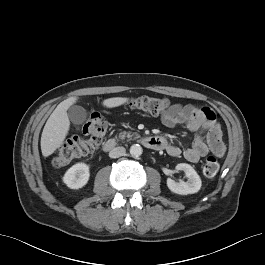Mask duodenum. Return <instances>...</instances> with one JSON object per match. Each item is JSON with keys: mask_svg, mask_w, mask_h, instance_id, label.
<instances>
[{"mask_svg": "<svg viewBox=\"0 0 265 265\" xmlns=\"http://www.w3.org/2000/svg\"><path fill=\"white\" fill-rule=\"evenodd\" d=\"M142 143L147 148L153 149V150H160V149H164L165 147L164 139L158 136H151V137L143 138ZM116 144L117 143L115 139H109L105 142L103 149L106 152H110L116 147Z\"/></svg>", "mask_w": 265, "mask_h": 265, "instance_id": "1", "label": "duodenum"}]
</instances>
